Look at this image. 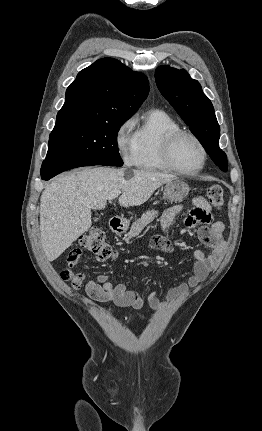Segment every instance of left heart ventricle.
Returning <instances> with one entry per match:
<instances>
[{
  "label": "left heart ventricle",
  "instance_id": "1",
  "mask_svg": "<svg viewBox=\"0 0 262 431\" xmlns=\"http://www.w3.org/2000/svg\"><path fill=\"white\" fill-rule=\"evenodd\" d=\"M176 162L185 170L192 171L202 163V152L199 146L190 138L179 139L174 148Z\"/></svg>",
  "mask_w": 262,
  "mask_h": 431
}]
</instances>
